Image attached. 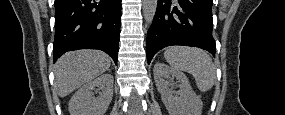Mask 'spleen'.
Returning a JSON list of instances; mask_svg holds the SVG:
<instances>
[{
    "label": "spleen",
    "instance_id": "3e777b00",
    "mask_svg": "<svg viewBox=\"0 0 285 115\" xmlns=\"http://www.w3.org/2000/svg\"><path fill=\"white\" fill-rule=\"evenodd\" d=\"M164 57L173 69L192 74L200 92H207L214 86L215 66L206 51L194 47L172 46L165 50Z\"/></svg>",
    "mask_w": 285,
    "mask_h": 115
}]
</instances>
